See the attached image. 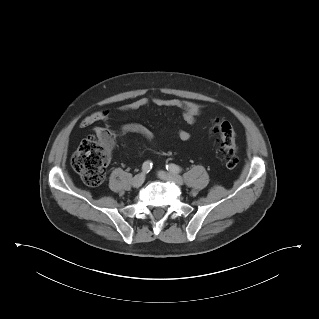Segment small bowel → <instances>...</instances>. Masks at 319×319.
Wrapping results in <instances>:
<instances>
[{
    "instance_id": "obj_1",
    "label": "small bowel",
    "mask_w": 319,
    "mask_h": 319,
    "mask_svg": "<svg viewBox=\"0 0 319 319\" xmlns=\"http://www.w3.org/2000/svg\"><path fill=\"white\" fill-rule=\"evenodd\" d=\"M150 105L179 109L182 112L184 120L189 125H195L197 123V119L203 109V106L201 104L193 101L156 96L151 98H138L128 104L121 106L120 110L124 112H131L149 107ZM110 115L111 112L108 109L93 112L83 118L81 125L86 127L91 126L97 122L106 123L109 121ZM128 129L132 132L140 134L150 144H154L156 142V135L154 131L143 124H133ZM93 132L98 138H103L106 136L112 137L116 135V132L109 127L95 126L93 128ZM177 136L182 141H189L192 137V134L187 129L179 128L177 130Z\"/></svg>"
}]
</instances>
